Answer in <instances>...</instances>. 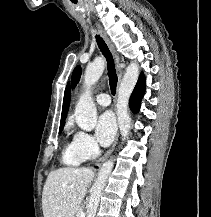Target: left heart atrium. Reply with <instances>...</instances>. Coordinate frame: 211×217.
<instances>
[{"label": "left heart atrium", "mask_w": 211, "mask_h": 217, "mask_svg": "<svg viewBox=\"0 0 211 217\" xmlns=\"http://www.w3.org/2000/svg\"><path fill=\"white\" fill-rule=\"evenodd\" d=\"M95 132L101 145L107 146L112 142L116 134V122L111 112H105L99 117Z\"/></svg>", "instance_id": "obj_1"}]
</instances>
